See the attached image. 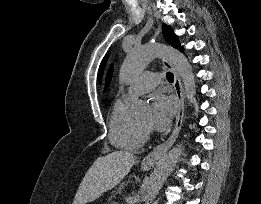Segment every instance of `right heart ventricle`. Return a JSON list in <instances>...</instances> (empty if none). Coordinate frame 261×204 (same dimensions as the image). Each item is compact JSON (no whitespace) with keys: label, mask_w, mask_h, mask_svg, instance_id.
<instances>
[{"label":"right heart ventricle","mask_w":261,"mask_h":204,"mask_svg":"<svg viewBox=\"0 0 261 204\" xmlns=\"http://www.w3.org/2000/svg\"><path fill=\"white\" fill-rule=\"evenodd\" d=\"M109 140L111 144L126 151H137L145 143V131L128 111V101L118 99L109 119Z\"/></svg>","instance_id":"1"}]
</instances>
